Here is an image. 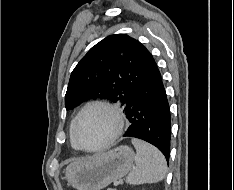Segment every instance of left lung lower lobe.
<instances>
[{"mask_svg": "<svg viewBox=\"0 0 234 190\" xmlns=\"http://www.w3.org/2000/svg\"><path fill=\"white\" fill-rule=\"evenodd\" d=\"M144 64L145 79L125 109L130 126L124 136L151 143L168 161L171 137L170 108L157 64L146 48Z\"/></svg>", "mask_w": 234, "mask_h": 190, "instance_id": "1", "label": "left lung lower lobe"}]
</instances>
